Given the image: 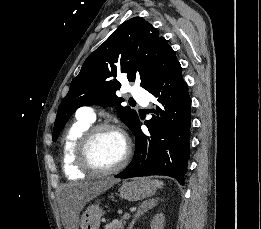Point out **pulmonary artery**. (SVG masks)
I'll list each match as a JSON object with an SVG mask.
<instances>
[{"instance_id": "1", "label": "pulmonary artery", "mask_w": 261, "mask_h": 229, "mask_svg": "<svg viewBox=\"0 0 261 229\" xmlns=\"http://www.w3.org/2000/svg\"><path fill=\"white\" fill-rule=\"evenodd\" d=\"M134 89H131V94L135 96L136 99H141L137 100V105H143L142 107L144 108V105H148L149 101V95L150 92L147 91V89H139L140 85L139 84H134L133 85ZM82 115L89 118L90 120L94 121L96 118V107L94 105H87L81 108Z\"/></svg>"}]
</instances>
